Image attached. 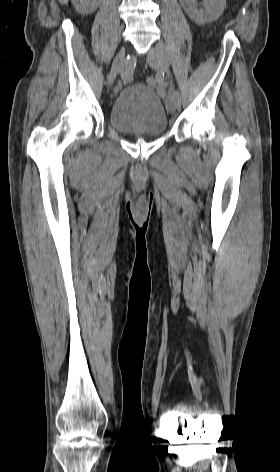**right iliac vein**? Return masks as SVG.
<instances>
[{
  "label": "right iliac vein",
  "mask_w": 280,
  "mask_h": 472,
  "mask_svg": "<svg viewBox=\"0 0 280 472\" xmlns=\"http://www.w3.org/2000/svg\"><path fill=\"white\" fill-rule=\"evenodd\" d=\"M124 63H125V51L122 50L117 54V56L115 57V59L113 61L110 73L108 75V85L109 86L112 85V83L114 82L117 74L120 73L123 70Z\"/></svg>",
  "instance_id": "obj_1"
}]
</instances>
